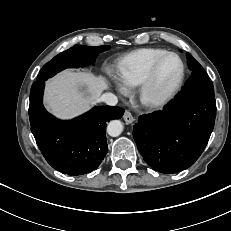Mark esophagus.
<instances>
[{"mask_svg": "<svg viewBox=\"0 0 231 231\" xmlns=\"http://www.w3.org/2000/svg\"><path fill=\"white\" fill-rule=\"evenodd\" d=\"M123 119L126 123L130 124L134 121V117L131 115L129 111H125L123 115Z\"/></svg>", "mask_w": 231, "mask_h": 231, "instance_id": "1", "label": "esophagus"}]
</instances>
